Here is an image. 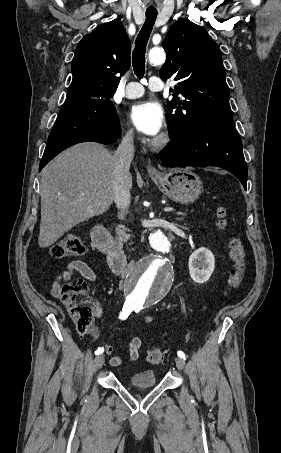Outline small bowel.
<instances>
[{"label": "small bowel", "instance_id": "1", "mask_svg": "<svg viewBox=\"0 0 281 453\" xmlns=\"http://www.w3.org/2000/svg\"><path fill=\"white\" fill-rule=\"evenodd\" d=\"M76 272L80 273L84 279L88 280L91 283H94L96 281L97 275L94 270L82 260L74 259L67 264L64 270L58 272L53 278L50 286V291L52 296L56 300L61 301L63 299V282L70 281L74 273ZM91 307L97 318H102L104 316V311L102 310L99 302H92ZM141 347V339L139 337H134L131 340L128 348V359L130 362H135L138 359ZM104 351L106 353H112L113 348L111 345L107 344L104 346ZM123 361L124 355H116L110 357L108 363L111 366H119Z\"/></svg>", "mask_w": 281, "mask_h": 453}]
</instances>
